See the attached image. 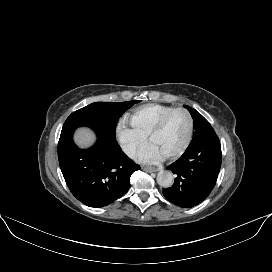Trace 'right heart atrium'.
<instances>
[{
	"instance_id": "1",
	"label": "right heart atrium",
	"mask_w": 272,
	"mask_h": 272,
	"mask_svg": "<svg viewBox=\"0 0 272 272\" xmlns=\"http://www.w3.org/2000/svg\"><path fill=\"white\" fill-rule=\"evenodd\" d=\"M116 131L124 152L131 158H135L145 145L147 135L129 126L124 120L119 121Z\"/></svg>"
}]
</instances>
